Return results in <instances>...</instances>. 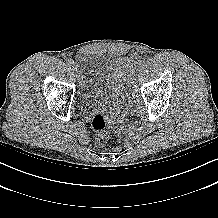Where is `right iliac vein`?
<instances>
[{"label": "right iliac vein", "mask_w": 218, "mask_h": 218, "mask_svg": "<svg viewBox=\"0 0 218 218\" xmlns=\"http://www.w3.org/2000/svg\"><path fill=\"white\" fill-rule=\"evenodd\" d=\"M72 71L75 74V76H77V66H76V64L72 65Z\"/></svg>", "instance_id": "63e3f726"}]
</instances>
